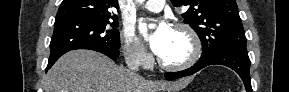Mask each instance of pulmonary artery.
Listing matches in <instances>:
<instances>
[{"label": "pulmonary artery", "mask_w": 289, "mask_h": 92, "mask_svg": "<svg viewBox=\"0 0 289 92\" xmlns=\"http://www.w3.org/2000/svg\"><path fill=\"white\" fill-rule=\"evenodd\" d=\"M165 6L164 0H148L143 5V9L150 12H160Z\"/></svg>", "instance_id": "obj_1"}]
</instances>
